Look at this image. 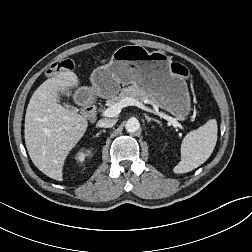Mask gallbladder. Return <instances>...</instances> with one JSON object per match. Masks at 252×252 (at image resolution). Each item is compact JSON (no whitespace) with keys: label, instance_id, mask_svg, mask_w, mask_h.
I'll return each instance as SVG.
<instances>
[{"label":"gallbladder","instance_id":"gallbladder-1","mask_svg":"<svg viewBox=\"0 0 252 252\" xmlns=\"http://www.w3.org/2000/svg\"><path fill=\"white\" fill-rule=\"evenodd\" d=\"M58 102H59L60 104H63L66 108H71V106H70L69 104H67V103H63V102H61L60 100H58Z\"/></svg>","mask_w":252,"mask_h":252}]
</instances>
